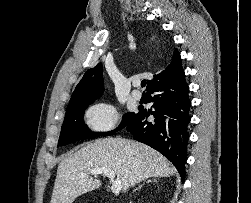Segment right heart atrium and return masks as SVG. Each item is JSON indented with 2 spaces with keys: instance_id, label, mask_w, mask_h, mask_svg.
I'll list each match as a JSON object with an SVG mask.
<instances>
[{
  "instance_id": "1",
  "label": "right heart atrium",
  "mask_w": 251,
  "mask_h": 203,
  "mask_svg": "<svg viewBox=\"0 0 251 203\" xmlns=\"http://www.w3.org/2000/svg\"><path fill=\"white\" fill-rule=\"evenodd\" d=\"M87 122L96 132H107L115 128L119 116L116 108L108 102L93 105L86 114Z\"/></svg>"
}]
</instances>
